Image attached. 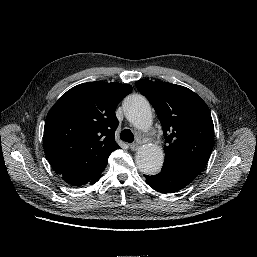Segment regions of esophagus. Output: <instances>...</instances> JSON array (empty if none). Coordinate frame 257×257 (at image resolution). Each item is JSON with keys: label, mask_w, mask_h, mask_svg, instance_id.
Listing matches in <instances>:
<instances>
[{"label": "esophagus", "mask_w": 257, "mask_h": 257, "mask_svg": "<svg viewBox=\"0 0 257 257\" xmlns=\"http://www.w3.org/2000/svg\"><path fill=\"white\" fill-rule=\"evenodd\" d=\"M139 147H140V144H138V143H133V144L130 145V149H131L132 151L138 150Z\"/></svg>", "instance_id": "esophagus-1"}]
</instances>
